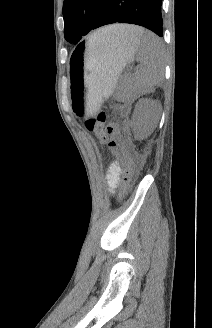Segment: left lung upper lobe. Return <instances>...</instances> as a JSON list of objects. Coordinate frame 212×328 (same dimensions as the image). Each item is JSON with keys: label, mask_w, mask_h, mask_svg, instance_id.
<instances>
[{"label": "left lung upper lobe", "mask_w": 212, "mask_h": 328, "mask_svg": "<svg viewBox=\"0 0 212 328\" xmlns=\"http://www.w3.org/2000/svg\"><path fill=\"white\" fill-rule=\"evenodd\" d=\"M103 0H64L63 18L65 39L78 43L95 23Z\"/></svg>", "instance_id": "1"}]
</instances>
